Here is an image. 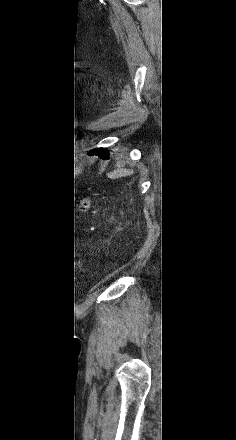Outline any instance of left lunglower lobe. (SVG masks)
Wrapping results in <instances>:
<instances>
[{
	"instance_id": "0a47b994",
	"label": "left lung lower lobe",
	"mask_w": 236,
	"mask_h": 440,
	"mask_svg": "<svg viewBox=\"0 0 236 440\" xmlns=\"http://www.w3.org/2000/svg\"><path fill=\"white\" fill-rule=\"evenodd\" d=\"M91 154H95L98 155L99 157L103 158V159H108L109 158V151L107 149L104 148H96L93 149L91 151Z\"/></svg>"
}]
</instances>
